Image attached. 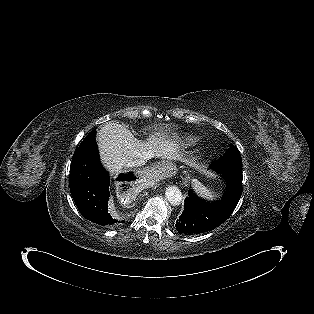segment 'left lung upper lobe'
I'll return each instance as SVG.
<instances>
[{
	"label": "left lung upper lobe",
	"instance_id": "1",
	"mask_svg": "<svg viewBox=\"0 0 314 314\" xmlns=\"http://www.w3.org/2000/svg\"><path fill=\"white\" fill-rule=\"evenodd\" d=\"M214 169H242V160L238 149L232 145L222 157L211 164Z\"/></svg>",
	"mask_w": 314,
	"mask_h": 314
}]
</instances>
